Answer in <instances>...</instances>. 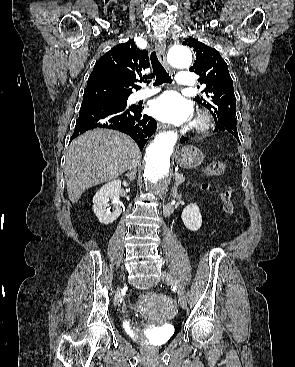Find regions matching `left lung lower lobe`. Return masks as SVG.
Instances as JSON below:
<instances>
[{
  "mask_svg": "<svg viewBox=\"0 0 295 367\" xmlns=\"http://www.w3.org/2000/svg\"><path fill=\"white\" fill-rule=\"evenodd\" d=\"M215 132L219 131V132H226V133H230L232 134L237 140H239L238 137V131H237V127H236V123L233 121H225V122H220L217 123L214 129ZM188 140V138L186 137H182L181 142H184ZM240 142V141H239Z\"/></svg>",
  "mask_w": 295,
  "mask_h": 367,
  "instance_id": "obj_1",
  "label": "left lung lower lobe"
}]
</instances>
